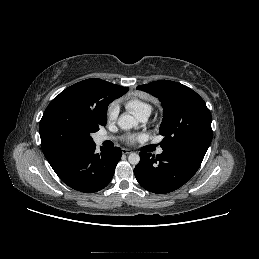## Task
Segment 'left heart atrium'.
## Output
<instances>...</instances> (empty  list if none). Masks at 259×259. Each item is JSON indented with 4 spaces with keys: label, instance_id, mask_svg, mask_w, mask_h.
<instances>
[{
    "label": "left heart atrium",
    "instance_id": "1",
    "mask_svg": "<svg viewBox=\"0 0 259 259\" xmlns=\"http://www.w3.org/2000/svg\"><path fill=\"white\" fill-rule=\"evenodd\" d=\"M135 138L134 137H132V138H130V141H133Z\"/></svg>",
    "mask_w": 259,
    "mask_h": 259
}]
</instances>
